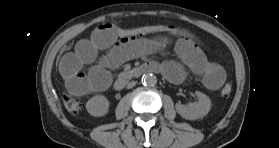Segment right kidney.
I'll use <instances>...</instances> for the list:
<instances>
[{
  "instance_id": "right-kidney-1",
  "label": "right kidney",
  "mask_w": 279,
  "mask_h": 148,
  "mask_svg": "<svg viewBox=\"0 0 279 148\" xmlns=\"http://www.w3.org/2000/svg\"><path fill=\"white\" fill-rule=\"evenodd\" d=\"M86 109L92 116H104L109 111V101L103 95H96L87 101Z\"/></svg>"
}]
</instances>
